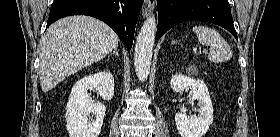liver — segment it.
<instances>
[{"mask_svg": "<svg viewBox=\"0 0 280 137\" xmlns=\"http://www.w3.org/2000/svg\"><path fill=\"white\" fill-rule=\"evenodd\" d=\"M119 37L89 16H70L53 23L41 46L40 82L48 92L73 73L103 59L118 47Z\"/></svg>", "mask_w": 280, "mask_h": 137, "instance_id": "liver-1", "label": "liver"}]
</instances>
